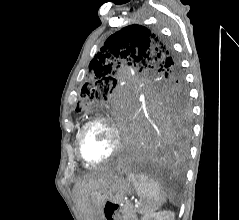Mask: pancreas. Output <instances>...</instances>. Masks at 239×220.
Returning <instances> with one entry per match:
<instances>
[{"mask_svg": "<svg viewBox=\"0 0 239 220\" xmlns=\"http://www.w3.org/2000/svg\"><path fill=\"white\" fill-rule=\"evenodd\" d=\"M123 220H138L136 209L132 205H125L120 210Z\"/></svg>", "mask_w": 239, "mask_h": 220, "instance_id": "1", "label": "pancreas"}]
</instances>
